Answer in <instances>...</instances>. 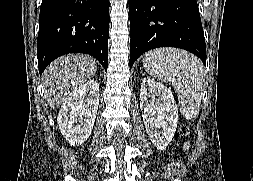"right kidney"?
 <instances>
[{"label": "right kidney", "instance_id": "1", "mask_svg": "<svg viewBox=\"0 0 253 181\" xmlns=\"http://www.w3.org/2000/svg\"><path fill=\"white\" fill-rule=\"evenodd\" d=\"M99 105V84L95 80L75 88L64 100L58 126L71 145H81L90 136Z\"/></svg>", "mask_w": 253, "mask_h": 181}]
</instances>
